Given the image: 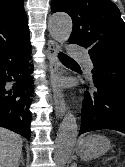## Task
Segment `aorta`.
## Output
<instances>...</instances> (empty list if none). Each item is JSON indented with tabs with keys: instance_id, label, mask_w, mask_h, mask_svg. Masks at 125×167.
<instances>
[{
	"instance_id": "aorta-1",
	"label": "aorta",
	"mask_w": 125,
	"mask_h": 167,
	"mask_svg": "<svg viewBox=\"0 0 125 167\" xmlns=\"http://www.w3.org/2000/svg\"><path fill=\"white\" fill-rule=\"evenodd\" d=\"M51 37L59 43H64L70 37L72 20L64 13L53 14L48 21ZM78 134L76 117L68 112L61 122L55 143L54 160L58 167H64L70 159Z\"/></svg>"
}]
</instances>
